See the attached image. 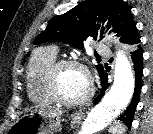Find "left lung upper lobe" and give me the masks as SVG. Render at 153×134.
Instances as JSON below:
<instances>
[{
	"mask_svg": "<svg viewBox=\"0 0 153 134\" xmlns=\"http://www.w3.org/2000/svg\"><path fill=\"white\" fill-rule=\"evenodd\" d=\"M96 20H108L107 30L112 25L113 31L121 37V42L131 45L140 42L131 9L123 1L85 0L65 14L52 18L34 44L54 41L70 44L74 48H83L88 37L95 40L104 38L105 29L96 26ZM96 69L99 75L104 70L100 64Z\"/></svg>",
	"mask_w": 153,
	"mask_h": 134,
	"instance_id": "1",
	"label": "left lung upper lobe"
}]
</instances>
